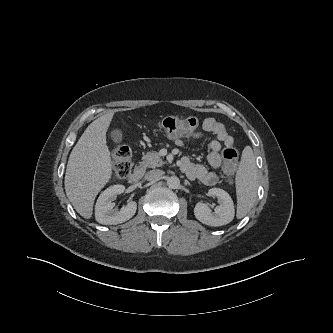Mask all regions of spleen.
Returning a JSON list of instances; mask_svg holds the SVG:
<instances>
[{"instance_id":"3e777b00","label":"spleen","mask_w":333,"mask_h":333,"mask_svg":"<svg viewBox=\"0 0 333 333\" xmlns=\"http://www.w3.org/2000/svg\"><path fill=\"white\" fill-rule=\"evenodd\" d=\"M237 217L243 218L253 207L257 195V168L255 157L250 146L242 152L241 161L236 173Z\"/></svg>"}]
</instances>
